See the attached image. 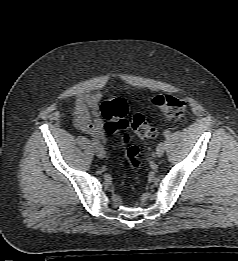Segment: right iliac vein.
I'll list each match as a JSON object with an SVG mask.
<instances>
[{"label":"right iliac vein","mask_w":238,"mask_h":261,"mask_svg":"<svg viewBox=\"0 0 238 261\" xmlns=\"http://www.w3.org/2000/svg\"><path fill=\"white\" fill-rule=\"evenodd\" d=\"M95 152H96V155L101 159L104 158L106 155V152H105L104 148H102V147H96Z\"/></svg>","instance_id":"obj_1"}]
</instances>
